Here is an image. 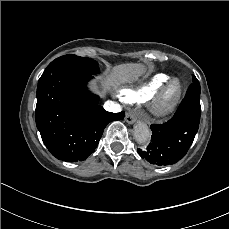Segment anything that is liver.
I'll use <instances>...</instances> for the list:
<instances>
[{
  "label": "liver",
  "instance_id": "1",
  "mask_svg": "<svg viewBox=\"0 0 229 229\" xmlns=\"http://www.w3.org/2000/svg\"><path fill=\"white\" fill-rule=\"evenodd\" d=\"M142 72V68L136 64L119 65L115 67V71H109L100 83L96 84V88L105 93L106 90L114 88V82L119 80H133Z\"/></svg>",
  "mask_w": 229,
  "mask_h": 229
}]
</instances>
